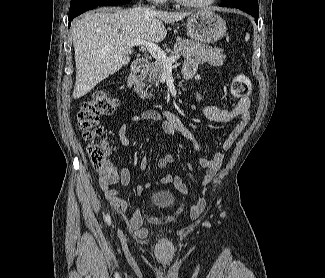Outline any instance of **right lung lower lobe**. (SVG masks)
<instances>
[{
    "instance_id": "right-lung-lower-lobe-1",
    "label": "right lung lower lobe",
    "mask_w": 325,
    "mask_h": 278,
    "mask_svg": "<svg viewBox=\"0 0 325 278\" xmlns=\"http://www.w3.org/2000/svg\"><path fill=\"white\" fill-rule=\"evenodd\" d=\"M131 0H71L69 9V26L74 17L97 6L128 3Z\"/></svg>"
}]
</instances>
